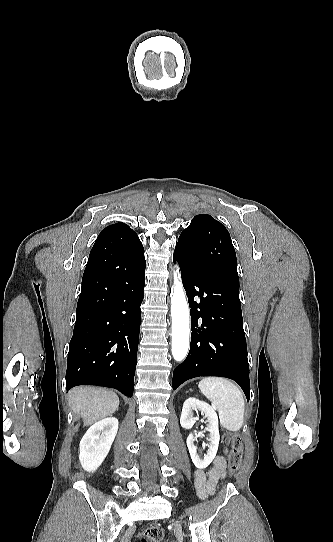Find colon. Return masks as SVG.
I'll return each mask as SVG.
<instances>
[{"instance_id": "1", "label": "colon", "mask_w": 333, "mask_h": 542, "mask_svg": "<svg viewBox=\"0 0 333 542\" xmlns=\"http://www.w3.org/2000/svg\"><path fill=\"white\" fill-rule=\"evenodd\" d=\"M224 452L229 470L236 472L240 466L243 454V441L239 434L227 435L225 437ZM162 539V530L155 525L146 527L139 534L140 542H161Z\"/></svg>"}]
</instances>
